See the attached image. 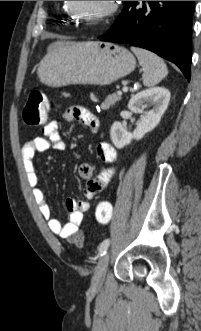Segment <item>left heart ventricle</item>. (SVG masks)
I'll return each mask as SVG.
<instances>
[{
  "instance_id": "1",
  "label": "left heart ventricle",
  "mask_w": 201,
  "mask_h": 331,
  "mask_svg": "<svg viewBox=\"0 0 201 331\" xmlns=\"http://www.w3.org/2000/svg\"><path fill=\"white\" fill-rule=\"evenodd\" d=\"M107 1H72L74 11L85 17H92L104 10Z\"/></svg>"
}]
</instances>
